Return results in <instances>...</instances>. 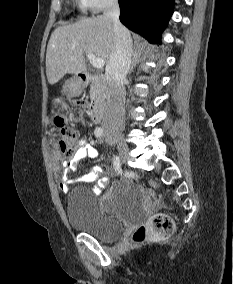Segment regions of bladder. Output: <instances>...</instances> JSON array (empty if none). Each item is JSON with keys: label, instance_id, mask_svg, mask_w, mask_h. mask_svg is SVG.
Masks as SVG:
<instances>
[{"label": "bladder", "instance_id": "31cf9c89", "mask_svg": "<svg viewBox=\"0 0 233 284\" xmlns=\"http://www.w3.org/2000/svg\"><path fill=\"white\" fill-rule=\"evenodd\" d=\"M139 201V189L127 181L118 183L110 195L103 198L104 204L113 202L124 207L137 206ZM67 217L72 228L103 242L117 239L124 230L123 222L103 214L96 198L83 188L70 191L67 198Z\"/></svg>", "mask_w": 233, "mask_h": 284}]
</instances>
